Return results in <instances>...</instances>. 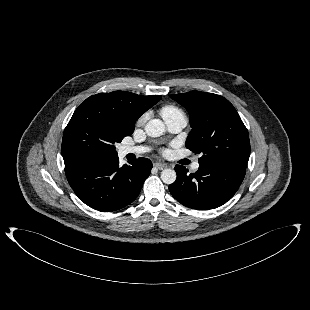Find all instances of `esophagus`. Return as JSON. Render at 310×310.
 <instances>
[{"label":"esophagus","instance_id":"esophagus-1","mask_svg":"<svg viewBox=\"0 0 310 310\" xmlns=\"http://www.w3.org/2000/svg\"><path fill=\"white\" fill-rule=\"evenodd\" d=\"M154 167L157 168L158 170H163L167 168V165L162 164V163H154Z\"/></svg>","mask_w":310,"mask_h":310}]
</instances>
